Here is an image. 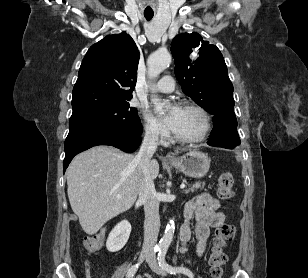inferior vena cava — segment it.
Segmentation results:
<instances>
[{
    "label": "inferior vena cava",
    "instance_id": "1",
    "mask_svg": "<svg viewBox=\"0 0 308 278\" xmlns=\"http://www.w3.org/2000/svg\"><path fill=\"white\" fill-rule=\"evenodd\" d=\"M157 141L158 131L146 130L140 150L135 156L140 170L139 201L143 203L145 211L143 253H153L160 229L159 200L149 172L151 158L157 149Z\"/></svg>",
    "mask_w": 308,
    "mask_h": 278
}]
</instances>
